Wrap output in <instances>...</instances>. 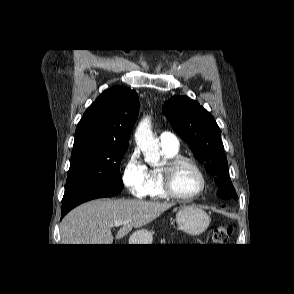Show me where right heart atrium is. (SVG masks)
Instances as JSON below:
<instances>
[{
  "label": "right heart atrium",
  "mask_w": 294,
  "mask_h": 294,
  "mask_svg": "<svg viewBox=\"0 0 294 294\" xmlns=\"http://www.w3.org/2000/svg\"><path fill=\"white\" fill-rule=\"evenodd\" d=\"M121 178L125 188L133 197L145 198L148 195L149 170L137 149L131 150L123 160Z\"/></svg>",
  "instance_id": "d8ad5b80"
}]
</instances>
